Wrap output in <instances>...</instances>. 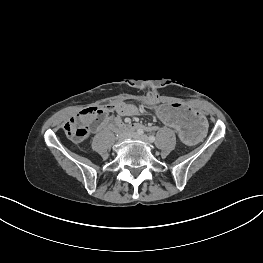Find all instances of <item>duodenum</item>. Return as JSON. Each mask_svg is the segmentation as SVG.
<instances>
[{"mask_svg": "<svg viewBox=\"0 0 263 263\" xmlns=\"http://www.w3.org/2000/svg\"><path fill=\"white\" fill-rule=\"evenodd\" d=\"M107 127L109 129H120L122 131H133V130H138V129H146L143 125L141 124H124L122 123L118 118L112 117L107 121Z\"/></svg>", "mask_w": 263, "mask_h": 263, "instance_id": "410a0bca", "label": "duodenum"}]
</instances>
